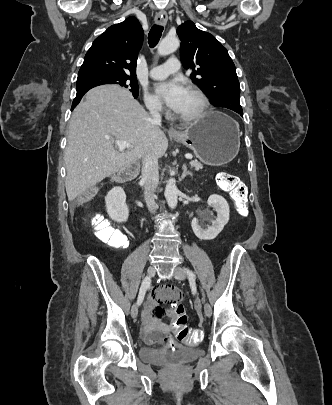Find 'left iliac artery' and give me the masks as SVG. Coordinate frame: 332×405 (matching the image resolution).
<instances>
[{
  "mask_svg": "<svg viewBox=\"0 0 332 405\" xmlns=\"http://www.w3.org/2000/svg\"><path fill=\"white\" fill-rule=\"evenodd\" d=\"M184 270L187 273L190 281H193L196 279V276L192 270H190L189 268H184ZM202 294L205 297L203 290H202Z\"/></svg>",
  "mask_w": 332,
  "mask_h": 405,
  "instance_id": "1",
  "label": "left iliac artery"
}]
</instances>
